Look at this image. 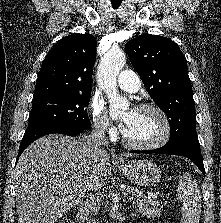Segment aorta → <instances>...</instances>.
<instances>
[{
    "label": "aorta",
    "instance_id": "obj_1",
    "mask_svg": "<svg viewBox=\"0 0 221 223\" xmlns=\"http://www.w3.org/2000/svg\"><path fill=\"white\" fill-rule=\"evenodd\" d=\"M125 54L120 49H111L102 58L97 70V82L109 99V114L117 116L129 107V101L117 91V76L125 65Z\"/></svg>",
    "mask_w": 221,
    "mask_h": 223
}]
</instances>
